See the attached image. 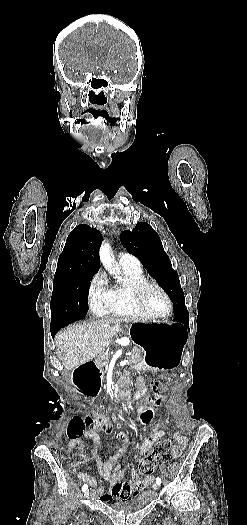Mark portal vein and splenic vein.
Instances as JSON below:
<instances>
[{
  "label": "portal vein and splenic vein",
  "mask_w": 247,
  "mask_h": 525,
  "mask_svg": "<svg viewBox=\"0 0 247 525\" xmlns=\"http://www.w3.org/2000/svg\"><path fill=\"white\" fill-rule=\"evenodd\" d=\"M125 356H133V353H125ZM130 358H125V361H121V363H117L116 370H120L122 366H125V364H129ZM104 370H109V364H106V367H104Z\"/></svg>",
  "instance_id": "18ae733b"
}]
</instances>
